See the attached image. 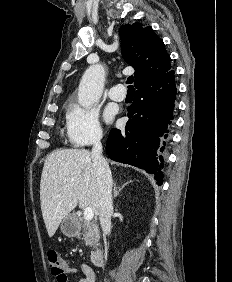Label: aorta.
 <instances>
[{"label": "aorta", "instance_id": "1", "mask_svg": "<svg viewBox=\"0 0 232 282\" xmlns=\"http://www.w3.org/2000/svg\"><path fill=\"white\" fill-rule=\"evenodd\" d=\"M105 82V70L101 64L91 65L84 72L78 87V102L90 107L101 97Z\"/></svg>", "mask_w": 232, "mask_h": 282}]
</instances>
